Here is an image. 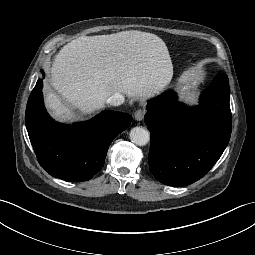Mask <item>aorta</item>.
Listing matches in <instances>:
<instances>
[{
	"instance_id": "obj_1",
	"label": "aorta",
	"mask_w": 255,
	"mask_h": 255,
	"mask_svg": "<svg viewBox=\"0 0 255 255\" xmlns=\"http://www.w3.org/2000/svg\"><path fill=\"white\" fill-rule=\"evenodd\" d=\"M130 140L138 146H144L150 140L149 131L143 127H134L130 131Z\"/></svg>"
}]
</instances>
